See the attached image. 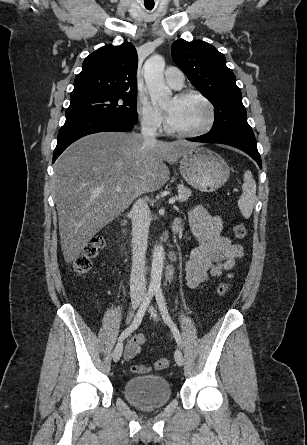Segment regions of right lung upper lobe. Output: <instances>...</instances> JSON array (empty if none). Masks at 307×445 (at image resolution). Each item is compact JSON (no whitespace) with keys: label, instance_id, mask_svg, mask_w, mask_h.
<instances>
[{"label":"right lung upper lobe","instance_id":"1","mask_svg":"<svg viewBox=\"0 0 307 445\" xmlns=\"http://www.w3.org/2000/svg\"><path fill=\"white\" fill-rule=\"evenodd\" d=\"M136 71L137 52L131 43L101 47L85 58L71 97L137 93Z\"/></svg>","mask_w":307,"mask_h":445}]
</instances>
